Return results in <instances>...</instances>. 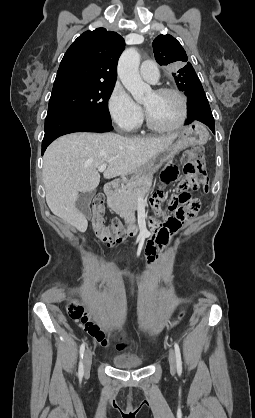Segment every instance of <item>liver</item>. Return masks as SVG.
<instances>
[{
  "instance_id": "obj_1",
  "label": "liver",
  "mask_w": 255,
  "mask_h": 418,
  "mask_svg": "<svg viewBox=\"0 0 255 418\" xmlns=\"http://www.w3.org/2000/svg\"><path fill=\"white\" fill-rule=\"evenodd\" d=\"M178 133L157 138H130L115 133H72L55 140L43 157L46 202L53 214L80 232L88 222L77 209L82 192L100 183L98 167L108 164L104 178L135 173L152 157L168 148Z\"/></svg>"
}]
</instances>
